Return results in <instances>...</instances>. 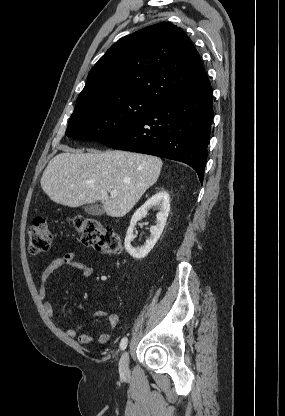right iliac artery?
<instances>
[{
  "label": "right iliac artery",
  "instance_id": "right-iliac-artery-1",
  "mask_svg": "<svg viewBox=\"0 0 285 416\" xmlns=\"http://www.w3.org/2000/svg\"><path fill=\"white\" fill-rule=\"evenodd\" d=\"M128 339L124 337L120 342V348L121 350H124L127 347Z\"/></svg>",
  "mask_w": 285,
  "mask_h": 416
}]
</instances>
